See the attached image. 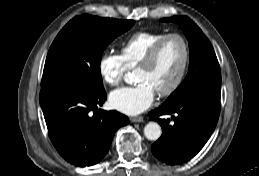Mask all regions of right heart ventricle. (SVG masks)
<instances>
[{
    "label": "right heart ventricle",
    "mask_w": 259,
    "mask_h": 176,
    "mask_svg": "<svg viewBox=\"0 0 259 176\" xmlns=\"http://www.w3.org/2000/svg\"><path fill=\"white\" fill-rule=\"evenodd\" d=\"M164 35L162 31H141L131 35L121 46L120 56L128 69L135 68L152 46Z\"/></svg>",
    "instance_id": "right-heart-ventricle-1"
}]
</instances>
